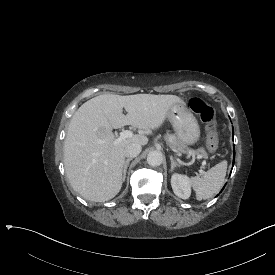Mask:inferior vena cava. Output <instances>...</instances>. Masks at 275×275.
I'll list each match as a JSON object with an SVG mask.
<instances>
[{
	"mask_svg": "<svg viewBox=\"0 0 275 275\" xmlns=\"http://www.w3.org/2000/svg\"><path fill=\"white\" fill-rule=\"evenodd\" d=\"M141 152V145L137 143H130L124 148L125 157H136Z\"/></svg>",
	"mask_w": 275,
	"mask_h": 275,
	"instance_id": "602c4592",
	"label": "inferior vena cava"
}]
</instances>
